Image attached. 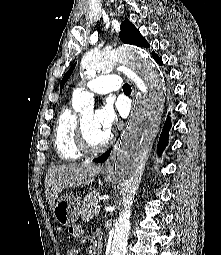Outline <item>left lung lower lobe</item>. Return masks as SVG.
<instances>
[{"label": "left lung lower lobe", "instance_id": "1", "mask_svg": "<svg viewBox=\"0 0 221 255\" xmlns=\"http://www.w3.org/2000/svg\"><path fill=\"white\" fill-rule=\"evenodd\" d=\"M153 58L155 59V61L159 64L162 65V60L158 57L157 54L152 53ZM171 128V123H170V118H168L166 120V123L164 125L163 131L161 133L160 139H159V144H158V148H157V153L159 155H161L162 151L164 150V148L166 147L167 143H168V132ZM110 155V150L105 152L103 155H101L100 157L94 159V162L96 163H103L104 161L107 160V158Z\"/></svg>", "mask_w": 221, "mask_h": 255}]
</instances>
